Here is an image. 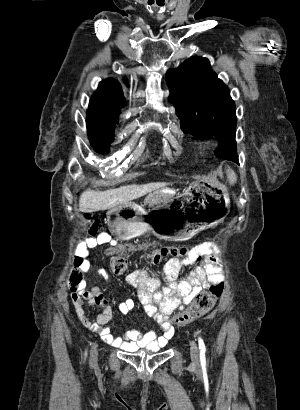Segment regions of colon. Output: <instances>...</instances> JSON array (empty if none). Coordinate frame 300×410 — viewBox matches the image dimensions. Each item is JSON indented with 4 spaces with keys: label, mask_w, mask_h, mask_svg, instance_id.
<instances>
[{
    "label": "colon",
    "mask_w": 300,
    "mask_h": 410,
    "mask_svg": "<svg viewBox=\"0 0 300 410\" xmlns=\"http://www.w3.org/2000/svg\"><path fill=\"white\" fill-rule=\"evenodd\" d=\"M92 229H94V225ZM169 256L186 258L191 256V250L183 245L162 246L151 253L150 261L152 264L158 265ZM197 259H199V256H197ZM110 267L114 273H124L129 267V260L125 256L113 254L110 260ZM82 284V272L77 269L73 270L69 277L70 290L77 292L82 287ZM223 290V282H217L212 284L207 291L197 293L192 304L176 315V323L178 325H185L205 315L213 307L215 301L222 295Z\"/></svg>",
    "instance_id": "obj_1"
}]
</instances>
